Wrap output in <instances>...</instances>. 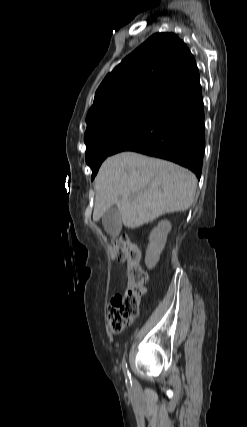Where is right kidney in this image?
<instances>
[{
    "instance_id": "obj_1",
    "label": "right kidney",
    "mask_w": 247,
    "mask_h": 427,
    "mask_svg": "<svg viewBox=\"0 0 247 427\" xmlns=\"http://www.w3.org/2000/svg\"><path fill=\"white\" fill-rule=\"evenodd\" d=\"M170 230L171 223L167 220H162L159 222L158 226L152 230L145 255V264L148 269H153L158 263Z\"/></svg>"
}]
</instances>
